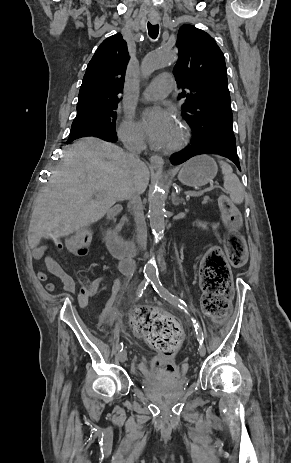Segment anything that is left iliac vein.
<instances>
[{"label": "left iliac vein", "mask_w": 291, "mask_h": 463, "mask_svg": "<svg viewBox=\"0 0 291 463\" xmlns=\"http://www.w3.org/2000/svg\"><path fill=\"white\" fill-rule=\"evenodd\" d=\"M198 351H199L200 356H202V357L205 356L206 348H205L204 344H200V346L198 348Z\"/></svg>", "instance_id": "4c4485c4"}]
</instances>
